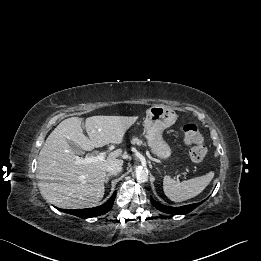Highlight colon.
<instances>
[{
	"label": "colon",
	"instance_id": "1",
	"mask_svg": "<svg viewBox=\"0 0 261 261\" xmlns=\"http://www.w3.org/2000/svg\"><path fill=\"white\" fill-rule=\"evenodd\" d=\"M185 142L190 146V159L194 163H200L205 159L207 150L204 138L194 123H187L183 127Z\"/></svg>",
	"mask_w": 261,
	"mask_h": 261
}]
</instances>
